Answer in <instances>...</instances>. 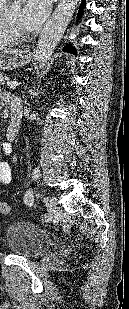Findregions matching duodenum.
Instances as JSON below:
<instances>
[{"mask_svg": "<svg viewBox=\"0 0 129 309\" xmlns=\"http://www.w3.org/2000/svg\"><path fill=\"white\" fill-rule=\"evenodd\" d=\"M18 126H19V116L16 113H13L11 114V121L8 129L9 139H13L15 137Z\"/></svg>", "mask_w": 129, "mask_h": 309, "instance_id": "duodenum-1", "label": "duodenum"}]
</instances>
